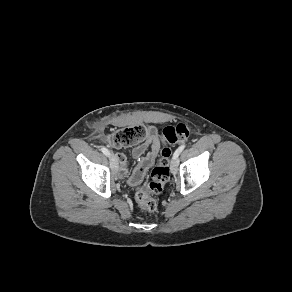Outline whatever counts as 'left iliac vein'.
Wrapping results in <instances>:
<instances>
[{
    "label": "left iliac vein",
    "mask_w": 292,
    "mask_h": 292,
    "mask_svg": "<svg viewBox=\"0 0 292 292\" xmlns=\"http://www.w3.org/2000/svg\"><path fill=\"white\" fill-rule=\"evenodd\" d=\"M170 169L173 174H176L178 171V160L173 159L171 160Z\"/></svg>",
    "instance_id": "4c4485c4"
}]
</instances>
